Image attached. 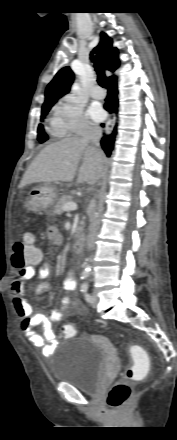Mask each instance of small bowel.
Wrapping results in <instances>:
<instances>
[{
  "mask_svg": "<svg viewBox=\"0 0 177 440\" xmlns=\"http://www.w3.org/2000/svg\"><path fill=\"white\" fill-rule=\"evenodd\" d=\"M47 238L54 245L63 243V236L55 226H50L46 231ZM51 269L42 264V253L39 259L31 266L20 270L10 282V290L16 313L21 318V329L29 342L37 348H41L45 356L50 355L56 347L57 341L52 330V324L60 322L65 312L83 313L85 308L69 296L77 288V282L73 272H69L63 281V289L67 293L61 298L60 308L52 309L48 313H34L25 294V283L31 278L37 277L42 282L36 287V293L42 294L52 290V285L46 281L50 276ZM41 326L42 333H38L35 327Z\"/></svg>",
  "mask_w": 177,
  "mask_h": 440,
  "instance_id": "small-bowel-1",
  "label": "small bowel"
}]
</instances>
